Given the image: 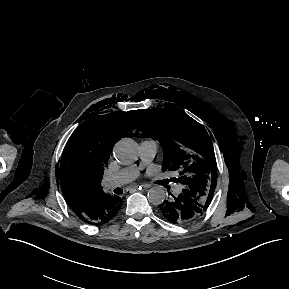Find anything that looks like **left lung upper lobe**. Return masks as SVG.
Returning a JSON list of instances; mask_svg holds the SVG:
<instances>
[{"label": "left lung upper lobe", "instance_id": "1", "mask_svg": "<svg viewBox=\"0 0 289 289\" xmlns=\"http://www.w3.org/2000/svg\"><path fill=\"white\" fill-rule=\"evenodd\" d=\"M139 116L141 136L157 139L164 147V169L177 170V180L186 189L202 186L212 200L217 166L212 141L203 126L174 107L142 111Z\"/></svg>", "mask_w": 289, "mask_h": 289}]
</instances>
